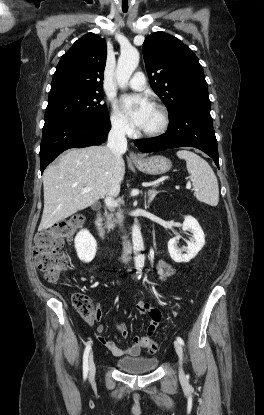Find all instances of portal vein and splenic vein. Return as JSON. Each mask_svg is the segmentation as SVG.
<instances>
[{
    "label": "portal vein and splenic vein",
    "mask_w": 264,
    "mask_h": 415,
    "mask_svg": "<svg viewBox=\"0 0 264 415\" xmlns=\"http://www.w3.org/2000/svg\"><path fill=\"white\" fill-rule=\"evenodd\" d=\"M186 188H188V189H190V188H191V183H190V182H188V183H187ZM90 191H91V188H90V187H88V188H84V189H83V192H84V193H86V192H90ZM105 204H106L107 206H109V207H115V206H117V203H116L115 201H113L112 199H110V198H107V199L105 200Z\"/></svg>",
    "instance_id": "1"
}]
</instances>
